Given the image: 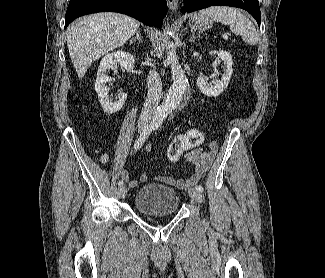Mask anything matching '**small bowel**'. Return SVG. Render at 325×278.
<instances>
[{"label":"small bowel","instance_id":"c3829d8e","mask_svg":"<svg viewBox=\"0 0 325 278\" xmlns=\"http://www.w3.org/2000/svg\"><path fill=\"white\" fill-rule=\"evenodd\" d=\"M190 130H188L184 134H189ZM146 151L151 150L150 145H146ZM193 150L187 152L183 156L184 162L191 164L194 173L191 174L187 179H175L172 177H163V180L168 184L175 185L178 187H186L189 185H194L199 181V179L208 171L210 166L212 165L216 154L218 152V146L215 141L203 142L200 145L192 148ZM108 160V155L104 154L101 157V161L106 163ZM121 178L128 183L130 187H136L138 182H146L148 180L147 174H141L139 181L135 179H131L129 177L128 171L126 169H122L120 171Z\"/></svg>","mask_w":325,"mask_h":278}]
</instances>
